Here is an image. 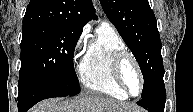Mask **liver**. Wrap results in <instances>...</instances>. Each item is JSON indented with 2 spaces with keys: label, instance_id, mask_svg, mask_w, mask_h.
I'll use <instances>...</instances> for the list:
<instances>
[{
  "label": "liver",
  "instance_id": "obj_1",
  "mask_svg": "<svg viewBox=\"0 0 193 112\" xmlns=\"http://www.w3.org/2000/svg\"><path fill=\"white\" fill-rule=\"evenodd\" d=\"M137 110L130 103L90 95L67 100L47 99L35 105L30 112H131Z\"/></svg>",
  "mask_w": 193,
  "mask_h": 112
}]
</instances>
